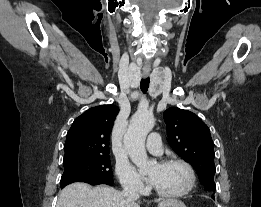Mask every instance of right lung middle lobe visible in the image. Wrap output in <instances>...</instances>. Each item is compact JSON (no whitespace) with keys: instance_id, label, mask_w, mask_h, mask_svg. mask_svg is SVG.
<instances>
[{"instance_id":"right-lung-middle-lobe-1","label":"right lung middle lobe","mask_w":261,"mask_h":207,"mask_svg":"<svg viewBox=\"0 0 261 207\" xmlns=\"http://www.w3.org/2000/svg\"><path fill=\"white\" fill-rule=\"evenodd\" d=\"M63 165L61 185L84 180L113 179L109 155L72 159L63 161Z\"/></svg>"}]
</instances>
